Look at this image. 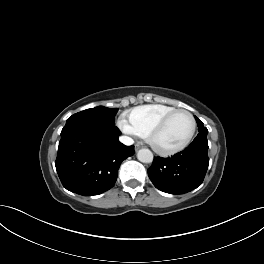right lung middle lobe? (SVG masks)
I'll return each mask as SVG.
<instances>
[{
	"instance_id": "obj_1",
	"label": "right lung middle lobe",
	"mask_w": 264,
	"mask_h": 264,
	"mask_svg": "<svg viewBox=\"0 0 264 264\" xmlns=\"http://www.w3.org/2000/svg\"><path fill=\"white\" fill-rule=\"evenodd\" d=\"M117 108L95 107L78 112L67 119L70 122H91L99 125L115 126V113Z\"/></svg>"
}]
</instances>
